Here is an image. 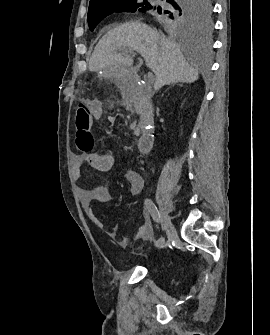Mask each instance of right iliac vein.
<instances>
[{"mask_svg":"<svg viewBox=\"0 0 270 335\" xmlns=\"http://www.w3.org/2000/svg\"><path fill=\"white\" fill-rule=\"evenodd\" d=\"M160 223L163 231H169L172 227L169 215L165 210H162Z\"/></svg>","mask_w":270,"mask_h":335,"instance_id":"63e3f726","label":"right iliac vein"}]
</instances>
